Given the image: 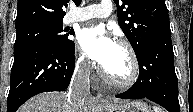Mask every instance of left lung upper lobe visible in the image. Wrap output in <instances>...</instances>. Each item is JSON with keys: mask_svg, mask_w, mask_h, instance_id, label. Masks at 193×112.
Instances as JSON below:
<instances>
[{"mask_svg": "<svg viewBox=\"0 0 193 112\" xmlns=\"http://www.w3.org/2000/svg\"><path fill=\"white\" fill-rule=\"evenodd\" d=\"M114 2L118 7V24L136 55H139L151 40L163 34H171L165 0H114Z\"/></svg>", "mask_w": 193, "mask_h": 112, "instance_id": "1", "label": "left lung upper lobe"}]
</instances>
